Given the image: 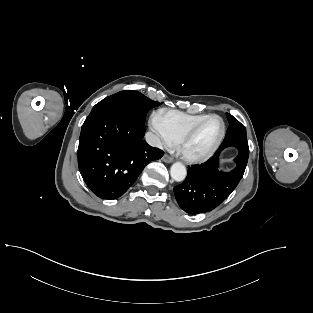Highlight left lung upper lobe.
<instances>
[{"mask_svg": "<svg viewBox=\"0 0 313 313\" xmlns=\"http://www.w3.org/2000/svg\"><path fill=\"white\" fill-rule=\"evenodd\" d=\"M227 119L230 123L225 140L235 137H244L246 138V128L231 114L227 113Z\"/></svg>", "mask_w": 313, "mask_h": 313, "instance_id": "5c2ea615", "label": "left lung upper lobe"}]
</instances>
